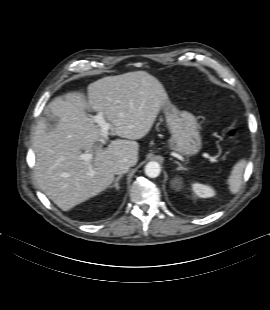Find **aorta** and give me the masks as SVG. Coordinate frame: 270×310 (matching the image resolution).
Here are the masks:
<instances>
[{
    "mask_svg": "<svg viewBox=\"0 0 270 310\" xmlns=\"http://www.w3.org/2000/svg\"><path fill=\"white\" fill-rule=\"evenodd\" d=\"M161 167L158 162L151 161L145 165V174L150 178H156L159 176Z\"/></svg>",
    "mask_w": 270,
    "mask_h": 310,
    "instance_id": "obj_1",
    "label": "aorta"
}]
</instances>
